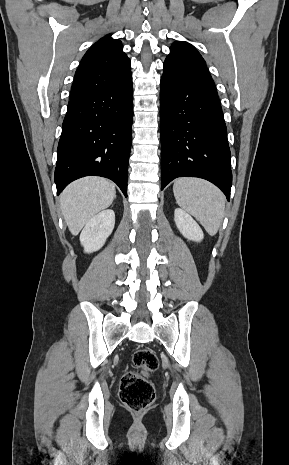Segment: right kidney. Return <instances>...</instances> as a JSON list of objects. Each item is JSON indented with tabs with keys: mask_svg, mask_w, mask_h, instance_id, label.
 Here are the masks:
<instances>
[{
	"mask_svg": "<svg viewBox=\"0 0 289 465\" xmlns=\"http://www.w3.org/2000/svg\"><path fill=\"white\" fill-rule=\"evenodd\" d=\"M115 225L113 210H104L95 215L84 227L80 234V243L86 253L99 250L110 236Z\"/></svg>",
	"mask_w": 289,
	"mask_h": 465,
	"instance_id": "right-kidney-1",
	"label": "right kidney"
}]
</instances>
